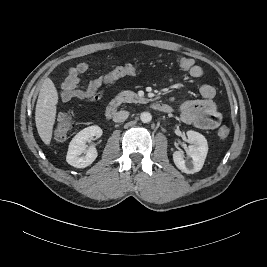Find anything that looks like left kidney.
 Listing matches in <instances>:
<instances>
[{"label": "left kidney", "instance_id": "left-kidney-1", "mask_svg": "<svg viewBox=\"0 0 267 267\" xmlns=\"http://www.w3.org/2000/svg\"><path fill=\"white\" fill-rule=\"evenodd\" d=\"M188 141L194 145H190L187 150V155L191 158L190 161H186L183 157V152L175 151L173 153V161L178 169L187 174H194L199 172L204 164L205 158L208 153V144L206 138L196 132H187Z\"/></svg>", "mask_w": 267, "mask_h": 267}]
</instances>
